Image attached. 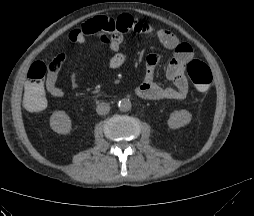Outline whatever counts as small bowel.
<instances>
[{
	"mask_svg": "<svg viewBox=\"0 0 254 216\" xmlns=\"http://www.w3.org/2000/svg\"><path fill=\"white\" fill-rule=\"evenodd\" d=\"M130 32L156 37L167 50L172 52L166 67V78L173 83V87H163L154 82V74L160 63V56L153 53L146 58L145 79L136 88V95L146 100H180L186 98L189 92V84L185 76V66L193 57V48L189 43L180 41L169 30L156 28L149 22L135 20L130 16H121L116 20L97 17L84 23L80 28L72 30L68 34L67 40L82 44L92 34L108 33L110 35L108 48L113 53L109 60V66L111 69H119L125 63V55L122 52L124 35ZM58 57L61 61L65 59L64 54H60ZM58 71L59 69L56 71L49 70L45 78L46 90L54 98H61L64 95L62 88L57 85ZM70 83L74 88L78 85L77 75L74 71L70 74Z\"/></svg>",
	"mask_w": 254,
	"mask_h": 216,
	"instance_id": "1",
	"label": "small bowel"
}]
</instances>
